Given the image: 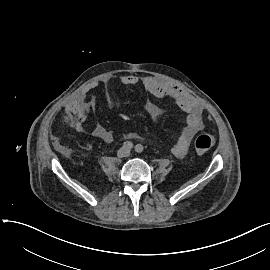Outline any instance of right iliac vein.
<instances>
[{
	"label": "right iliac vein",
	"mask_w": 270,
	"mask_h": 270,
	"mask_svg": "<svg viewBox=\"0 0 270 270\" xmlns=\"http://www.w3.org/2000/svg\"><path fill=\"white\" fill-rule=\"evenodd\" d=\"M118 157L122 158L124 157L125 155V149L124 148H121L118 153H117Z\"/></svg>",
	"instance_id": "63e3f726"
}]
</instances>
